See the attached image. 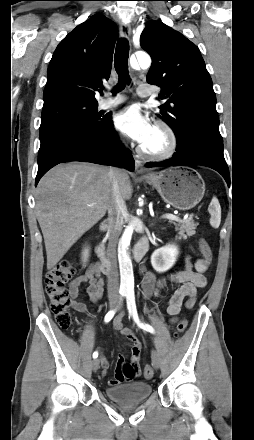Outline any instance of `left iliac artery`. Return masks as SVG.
<instances>
[{"label":"left iliac artery","instance_id":"44dca946","mask_svg":"<svg viewBox=\"0 0 254 440\" xmlns=\"http://www.w3.org/2000/svg\"><path fill=\"white\" fill-rule=\"evenodd\" d=\"M126 298H127V308L129 310V313L133 316L135 322L137 323V325L150 332V333H154V329L152 326H150L149 324H145V323H141L139 318H138V314H137V309H136V304H135V296H134V292L130 291L127 292L126 294Z\"/></svg>","mask_w":254,"mask_h":440}]
</instances>
